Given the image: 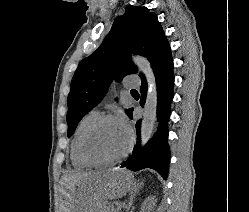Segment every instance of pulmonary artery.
Returning a JSON list of instances; mask_svg holds the SVG:
<instances>
[{
	"instance_id": "obj_1",
	"label": "pulmonary artery",
	"mask_w": 249,
	"mask_h": 212,
	"mask_svg": "<svg viewBox=\"0 0 249 212\" xmlns=\"http://www.w3.org/2000/svg\"><path fill=\"white\" fill-rule=\"evenodd\" d=\"M123 86H124L125 88H127V89H132V88L135 87L133 84L128 83V82H124V83H123Z\"/></svg>"
}]
</instances>
